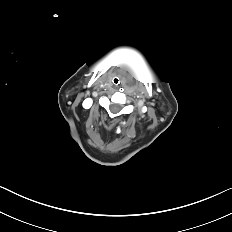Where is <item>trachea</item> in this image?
Listing matches in <instances>:
<instances>
[{"label": "trachea", "instance_id": "trachea-1", "mask_svg": "<svg viewBox=\"0 0 232 232\" xmlns=\"http://www.w3.org/2000/svg\"><path fill=\"white\" fill-rule=\"evenodd\" d=\"M111 82L114 86H118L120 85V82H121V79L118 77V76H114L112 79H111Z\"/></svg>", "mask_w": 232, "mask_h": 232}]
</instances>
